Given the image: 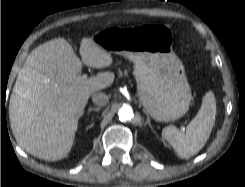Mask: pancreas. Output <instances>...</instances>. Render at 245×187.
<instances>
[{"mask_svg":"<svg viewBox=\"0 0 245 187\" xmlns=\"http://www.w3.org/2000/svg\"><path fill=\"white\" fill-rule=\"evenodd\" d=\"M124 73L126 74L127 71L125 70ZM119 76H122V72L121 71H119Z\"/></svg>","mask_w":245,"mask_h":187,"instance_id":"pancreas-1","label":"pancreas"}]
</instances>
